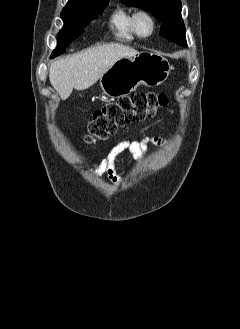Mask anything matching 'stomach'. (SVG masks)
<instances>
[{"label": "stomach", "instance_id": "obj_1", "mask_svg": "<svg viewBox=\"0 0 240 329\" xmlns=\"http://www.w3.org/2000/svg\"><path fill=\"white\" fill-rule=\"evenodd\" d=\"M170 63L160 53L143 51L132 57L117 60L101 77L103 93L120 98L134 92L141 84L154 87L169 76Z\"/></svg>", "mask_w": 240, "mask_h": 329}]
</instances>
